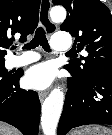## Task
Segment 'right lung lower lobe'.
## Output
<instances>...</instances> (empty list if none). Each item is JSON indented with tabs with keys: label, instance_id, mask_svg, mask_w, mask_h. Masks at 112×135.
<instances>
[{
	"label": "right lung lower lobe",
	"instance_id": "98d812e1",
	"mask_svg": "<svg viewBox=\"0 0 112 135\" xmlns=\"http://www.w3.org/2000/svg\"><path fill=\"white\" fill-rule=\"evenodd\" d=\"M21 75H12L0 86V121L15 126L24 135H37L41 104L35 91L20 88Z\"/></svg>",
	"mask_w": 112,
	"mask_h": 135
}]
</instances>
